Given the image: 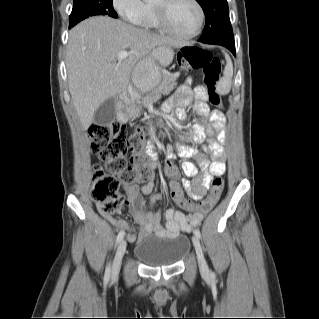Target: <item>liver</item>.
I'll return each mask as SVG.
<instances>
[{
  "label": "liver",
  "instance_id": "1",
  "mask_svg": "<svg viewBox=\"0 0 319 319\" xmlns=\"http://www.w3.org/2000/svg\"><path fill=\"white\" fill-rule=\"evenodd\" d=\"M161 45L181 43L110 17H91L69 32L68 86L84 130L102 103L127 89L136 65ZM127 49L130 55L116 63L118 53Z\"/></svg>",
  "mask_w": 319,
  "mask_h": 319
}]
</instances>
